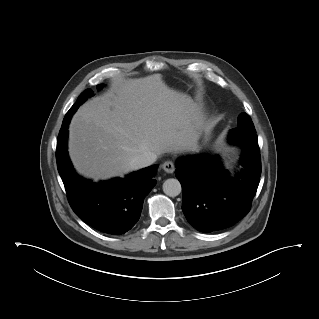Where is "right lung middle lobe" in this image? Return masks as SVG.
<instances>
[{
	"label": "right lung middle lobe",
	"mask_w": 319,
	"mask_h": 319,
	"mask_svg": "<svg viewBox=\"0 0 319 319\" xmlns=\"http://www.w3.org/2000/svg\"><path fill=\"white\" fill-rule=\"evenodd\" d=\"M103 85L100 84L98 85V89H100ZM93 91L91 89H87L84 92L81 93V95L78 97L77 101L75 102V104L70 108V110L67 112V114L65 115V117H67L68 115L73 114L77 108L89 97V96H93ZM65 119V118H64Z\"/></svg>",
	"instance_id": "1"
}]
</instances>
